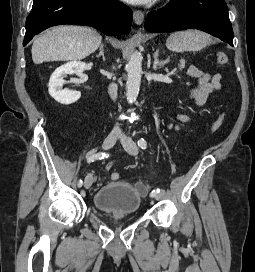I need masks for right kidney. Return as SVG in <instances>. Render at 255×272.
<instances>
[{
	"mask_svg": "<svg viewBox=\"0 0 255 272\" xmlns=\"http://www.w3.org/2000/svg\"><path fill=\"white\" fill-rule=\"evenodd\" d=\"M86 67V64L80 61L68 62L60 67H58L51 75L49 80V94L58 103L69 105L76 102L81 93L79 91H69L62 89L65 83L63 79L66 75H71L74 73H82Z\"/></svg>",
	"mask_w": 255,
	"mask_h": 272,
	"instance_id": "1",
	"label": "right kidney"
}]
</instances>
